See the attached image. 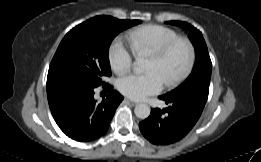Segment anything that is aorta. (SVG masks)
<instances>
[{
    "mask_svg": "<svg viewBox=\"0 0 261 162\" xmlns=\"http://www.w3.org/2000/svg\"><path fill=\"white\" fill-rule=\"evenodd\" d=\"M144 67V61L142 59H138L135 65V71L140 73L142 72ZM151 112L150 107L147 104H138L136 105L135 109H134V113L135 115L139 118V119H146L149 117Z\"/></svg>",
    "mask_w": 261,
    "mask_h": 162,
    "instance_id": "obj_1",
    "label": "aorta"
}]
</instances>
